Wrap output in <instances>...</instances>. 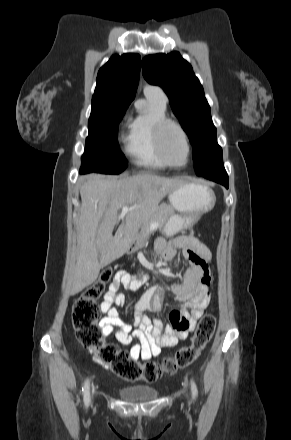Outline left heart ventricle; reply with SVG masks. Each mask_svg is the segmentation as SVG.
Instances as JSON below:
<instances>
[{
    "label": "left heart ventricle",
    "instance_id": "left-heart-ventricle-1",
    "mask_svg": "<svg viewBox=\"0 0 291 440\" xmlns=\"http://www.w3.org/2000/svg\"><path fill=\"white\" fill-rule=\"evenodd\" d=\"M163 148L166 157L174 164H183L186 160V146L180 132L174 128L166 129L163 137Z\"/></svg>",
    "mask_w": 291,
    "mask_h": 440
}]
</instances>
